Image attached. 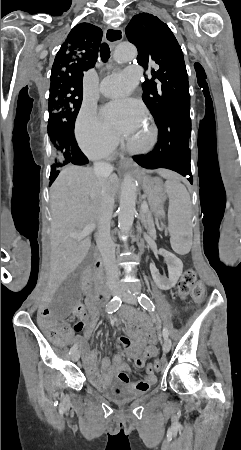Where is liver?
Wrapping results in <instances>:
<instances>
[{
  "label": "liver",
  "mask_w": 241,
  "mask_h": 450,
  "mask_svg": "<svg viewBox=\"0 0 241 450\" xmlns=\"http://www.w3.org/2000/svg\"><path fill=\"white\" fill-rule=\"evenodd\" d=\"M151 174L153 170H147ZM158 174L162 170H156ZM168 172V170H165ZM173 178L177 174L168 172ZM104 186L111 200L119 190L116 174L104 178ZM104 196L99 178L93 168L65 166L50 190L52 212L50 270L46 296H53L60 284L75 272L89 252L91 240L70 238L72 232L80 234L87 226H99L106 222L103 210Z\"/></svg>",
  "instance_id": "liver-1"
}]
</instances>
